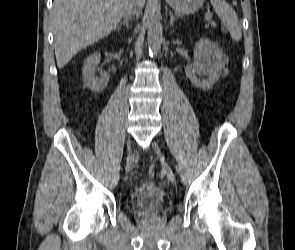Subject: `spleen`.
Instances as JSON below:
<instances>
[{"mask_svg": "<svg viewBox=\"0 0 295 250\" xmlns=\"http://www.w3.org/2000/svg\"><path fill=\"white\" fill-rule=\"evenodd\" d=\"M215 13L226 26L234 41L242 38L241 25L235 10L225 0H210Z\"/></svg>", "mask_w": 295, "mask_h": 250, "instance_id": "obj_1", "label": "spleen"}]
</instances>
